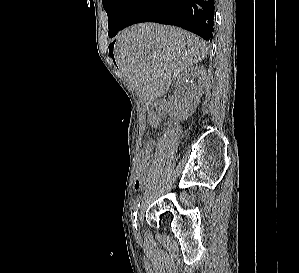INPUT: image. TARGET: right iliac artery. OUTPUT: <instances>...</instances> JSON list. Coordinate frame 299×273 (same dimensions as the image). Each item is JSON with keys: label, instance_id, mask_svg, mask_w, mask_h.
<instances>
[{"label": "right iliac artery", "instance_id": "obj_1", "mask_svg": "<svg viewBox=\"0 0 299 273\" xmlns=\"http://www.w3.org/2000/svg\"><path fill=\"white\" fill-rule=\"evenodd\" d=\"M140 207V201L137 200L134 205L132 206V220L135 222L134 226L135 228H137L136 226V220H137V212H138V209Z\"/></svg>", "mask_w": 299, "mask_h": 273}]
</instances>
